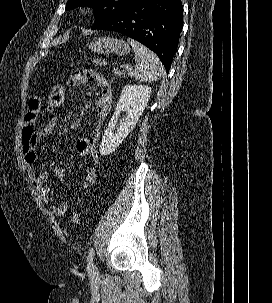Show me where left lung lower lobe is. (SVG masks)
<instances>
[{
	"mask_svg": "<svg viewBox=\"0 0 272 303\" xmlns=\"http://www.w3.org/2000/svg\"><path fill=\"white\" fill-rule=\"evenodd\" d=\"M183 27L181 0H138L96 29L125 34L154 51L169 72Z\"/></svg>",
	"mask_w": 272,
	"mask_h": 303,
	"instance_id": "obj_1",
	"label": "left lung lower lobe"
}]
</instances>
